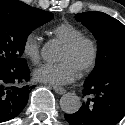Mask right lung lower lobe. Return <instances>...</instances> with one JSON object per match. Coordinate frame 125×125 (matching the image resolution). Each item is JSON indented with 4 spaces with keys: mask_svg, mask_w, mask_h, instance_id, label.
I'll return each instance as SVG.
<instances>
[{
    "mask_svg": "<svg viewBox=\"0 0 125 125\" xmlns=\"http://www.w3.org/2000/svg\"><path fill=\"white\" fill-rule=\"evenodd\" d=\"M29 78L27 63L11 67L0 61V123L15 118L27 104Z\"/></svg>",
    "mask_w": 125,
    "mask_h": 125,
    "instance_id": "1",
    "label": "right lung lower lobe"
}]
</instances>
